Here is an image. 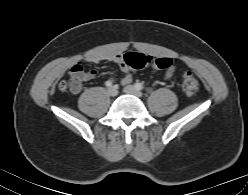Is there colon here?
<instances>
[{"label": "colon", "instance_id": "1", "mask_svg": "<svg viewBox=\"0 0 248 195\" xmlns=\"http://www.w3.org/2000/svg\"><path fill=\"white\" fill-rule=\"evenodd\" d=\"M121 60L124 66L132 69H140L145 66H153L157 69H169L172 66V61L166 57H157L144 55L141 53L129 52L121 55ZM84 69L74 68L69 72V77L59 84V89L63 92H78L83 81ZM182 89L184 93L191 97L198 92L199 84L196 76L187 71L182 77Z\"/></svg>", "mask_w": 248, "mask_h": 195}]
</instances>
